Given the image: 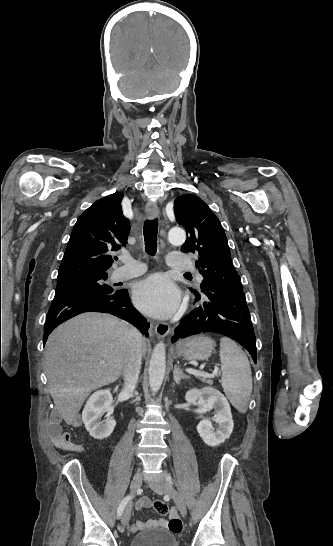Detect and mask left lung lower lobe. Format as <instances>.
I'll return each mask as SVG.
<instances>
[{
    "label": "left lung lower lobe",
    "mask_w": 333,
    "mask_h": 546,
    "mask_svg": "<svg viewBox=\"0 0 333 546\" xmlns=\"http://www.w3.org/2000/svg\"><path fill=\"white\" fill-rule=\"evenodd\" d=\"M193 293L197 306L181 320L172 342L199 333H219L240 343L256 363V338L244 292Z\"/></svg>",
    "instance_id": "left-lung-lower-lobe-1"
}]
</instances>
